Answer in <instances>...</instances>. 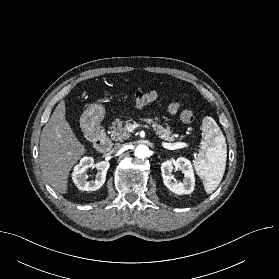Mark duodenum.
<instances>
[{
  "label": "duodenum",
  "instance_id": "1",
  "mask_svg": "<svg viewBox=\"0 0 279 279\" xmlns=\"http://www.w3.org/2000/svg\"><path fill=\"white\" fill-rule=\"evenodd\" d=\"M85 133L93 142L94 148L97 151L107 152L111 148V141L102 126L92 122H87L85 124Z\"/></svg>",
  "mask_w": 279,
  "mask_h": 279
}]
</instances>
